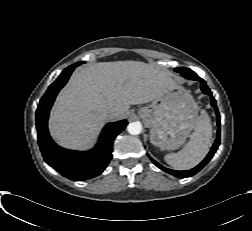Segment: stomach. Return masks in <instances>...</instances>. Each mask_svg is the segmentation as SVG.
I'll list each match as a JSON object with an SVG mask.
<instances>
[{
	"mask_svg": "<svg viewBox=\"0 0 252 231\" xmlns=\"http://www.w3.org/2000/svg\"><path fill=\"white\" fill-rule=\"evenodd\" d=\"M138 114L150 128L151 143L173 150L190 136L196 125L198 107L187 90L175 86L140 108Z\"/></svg>",
	"mask_w": 252,
	"mask_h": 231,
	"instance_id": "1",
	"label": "stomach"
}]
</instances>
